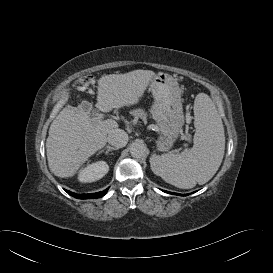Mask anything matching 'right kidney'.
<instances>
[{
	"label": "right kidney",
	"mask_w": 273,
	"mask_h": 273,
	"mask_svg": "<svg viewBox=\"0 0 273 273\" xmlns=\"http://www.w3.org/2000/svg\"><path fill=\"white\" fill-rule=\"evenodd\" d=\"M109 171V166L104 161H98L87 165V167L80 170L78 179L80 182H94L101 179Z\"/></svg>",
	"instance_id": "obj_1"
}]
</instances>
